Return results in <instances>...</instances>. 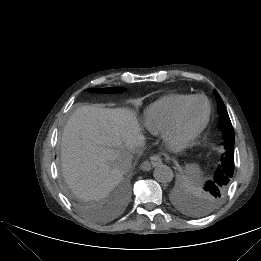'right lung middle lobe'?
Instances as JSON below:
<instances>
[{"label":"right lung middle lobe","mask_w":261,"mask_h":261,"mask_svg":"<svg viewBox=\"0 0 261 261\" xmlns=\"http://www.w3.org/2000/svg\"><path fill=\"white\" fill-rule=\"evenodd\" d=\"M88 90L96 93H118V92L125 91V88L110 87V88H99V89H88Z\"/></svg>","instance_id":"dd1d6c3e"}]
</instances>
